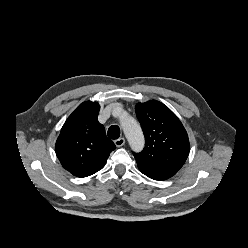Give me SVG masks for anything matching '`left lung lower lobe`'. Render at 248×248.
I'll return each instance as SVG.
<instances>
[{
    "label": "left lung lower lobe",
    "mask_w": 248,
    "mask_h": 248,
    "mask_svg": "<svg viewBox=\"0 0 248 248\" xmlns=\"http://www.w3.org/2000/svg\"><path fill=\"white\" fill-rule=\"evenodd\" d=\"M139 170L144 174L146 175L147 177L151 178V179H154V180H166L168 178H170V176L168 175H165V174H161V173H156V172H152V171H149L145 168H142L140 166H138Z\"/></svg>",
    "instance_id": "0a47b994"
}]
</instances>
